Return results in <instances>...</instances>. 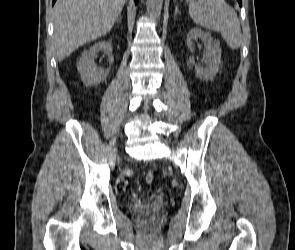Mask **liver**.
I'll list each match as a JSON object with an SVG mask.
<instances>
[{"label": "liver", "mask_w": 295, "mask_h": 250, "mask_svg": "<svg viewBox=\"0 0 295 250\" xmlns=\"http://www.w3.org/2000/svg\"><path fill=\"white\" fill-rule=\"evenodd\" d=\"M126 0H57L54 6V44L62 61L83 44L107 34Z\"/></svg>", "instance_id": "liver-1"}]
</instances>
